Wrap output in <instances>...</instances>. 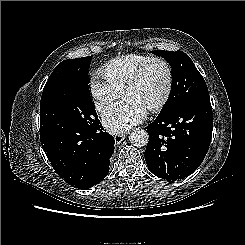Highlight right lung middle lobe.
I'll return each mask as SVG.
<instances>
[{
	"label": "right lung middle lobe",
	"mask_w": 245,
	"mask_h": 245,
	"mask_svg": "<svg viewBox=\"0 0 245 245\" xmlns=\"http://www.w3.org/2000/svg\"><path fill=\"white\" fill-rule=\"evenodd\" d=\"M91 60L92 56L68 59L55 67L41 97V126L90 127L97 121L88 85Z\"/></svg>",
	"instance_id": "right-lung-middle-lobe-1"
}]
</instances>
